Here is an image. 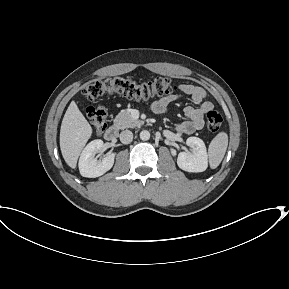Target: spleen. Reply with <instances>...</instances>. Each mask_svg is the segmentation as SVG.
Segmentation results:
<instances>
[{
    "mask_svg": "<svg viewBox=\"0 0 289 289\" xmlns=\"http://www.w3.org/2000/svg\"><path fill=\"white\" fill-rule=\"evenodd\" d=\"M228 146V135L225 132L218 133L208 148L209 164L212 169L219 166L224 158Z\"/></svg>",
    "mask_w": 289,
    "mask_h": 289,
    "instance_id": "spleen-1",
    "label": "spleen"
}]
</instances>
